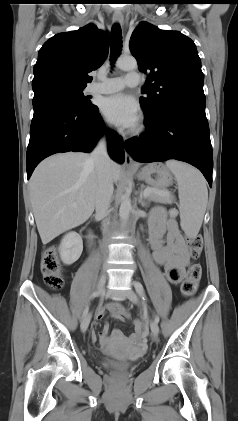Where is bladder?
<instances>
[{
    "mask_svg": "<svg viewBox=\"0 0 238 421\" xmlns=\"http://www.w3.org/2000/svg\"><path fill=\"white\" fill-rule=\"evenodd\" d=\"M101 365L106 369L113 370H125L131 367L129 362H123L114 359H104L101 361Z\"/></svg>",
    "mask_w": 238,
    "mask_h": 421,
    "instance_id": "31cf9c89",
    "label": "bladder"
}]
</instances>
